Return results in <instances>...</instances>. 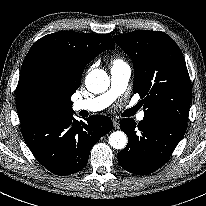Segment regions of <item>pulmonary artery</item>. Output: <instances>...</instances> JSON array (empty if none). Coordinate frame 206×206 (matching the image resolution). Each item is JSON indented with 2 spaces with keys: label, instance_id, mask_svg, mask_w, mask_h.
Listing matches in <instances>:
<instances>
[{
  "label": "pulmonary artery",
  "instance_id": "e3ab8cb5",
  "mask_svg": "<svg viewBox=\"0 0 206 206\" xmlns=\"http://www.w3.org/2000/svg\"><path fill=\"white\" fill-rule=\"evenodd\" d=\"M110 75L111 85L108 91L90 99L75 101L74 110L98 112L110 106L126 90L131 76V68L125 62L119 61L112 65ZM143 119L144 113H138L137 120L142 121Z\"/></svg>",
  "mask_w": 206,
  "mask_h": 206
}]
</instances>
